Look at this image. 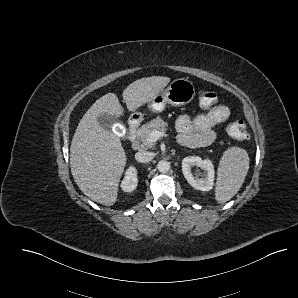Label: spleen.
<instances>
[{
	"label": "spleen",
	"instance_id": "3e777b00",
	"mask_svg": "<svg viewBox=\"0 0 298 298\" xmlns=\"http://www.w3.org/2000/svg\"><path fill=\"white\" fill-rule=\"evenodd\" d=\"M249 168V158L244 150L228 149L218 168L216 199L224 203L237 193L241 187Z\"/></svg>",
	"mask_w": 298,
	"mask_h": 298
}]
</instances>
